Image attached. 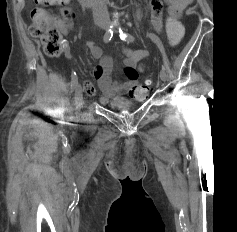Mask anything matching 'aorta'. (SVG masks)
<instances>
[{
	"mask_svg": "<svg viewBox=\"0 0 237 232\" xmlns=\"http://www.w3.org/2000/svg\"><path fill=\"white\" fill-rule=\"evenodd\" d=\"M117 17V14H114V18H116Z\"/></svg>",
	"mask_w": 237,
	"mask_h": 232,
	"instance_id": "762f6f07",
	"label": "aorta"
}]
</instances>
